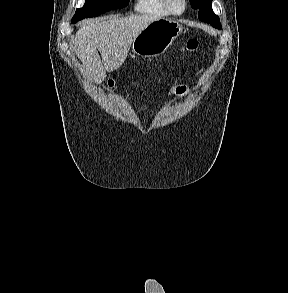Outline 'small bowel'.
<instances>
[{
  "mask_svg": "<svg viewBox=\"0 0 288 293\" xmlns=\"http://www.w3.org/2000/svg\"><path fill=\"white\" fill-rule=\"evenodd\" d=\"M183 91H184L183 89H178V90H177L178 93H181V92H183Z\"/></svg>",
  "mask_w": 288,
  "mask_h": 293,
  "instance_id": "c3829d8e",
  "label": "small bowel"
}]
</instances>
